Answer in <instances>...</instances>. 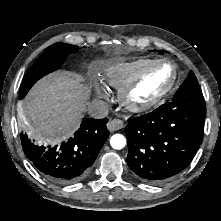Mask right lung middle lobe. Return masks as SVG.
Returning <instances> with one entry per match:
<instances>
[{
    "mask_svg": "<svg viewBox=\"0 0 221 221\" xmlns=\"http://www.w3.org/2000/svg\"><path fill=\"white\" fill-rule=\"evenodd\" d=\"M78 50V46L66 43H55L49 46L25 75L20 86L19 98L22 99L37 80L57 70L68 54Z\"/></svg>",
    "mask_w": 221,
    "mask_h": 221,
    "instance_id": "obj_1",
    "label": "right lung middle lobe"
}]
</instances>
